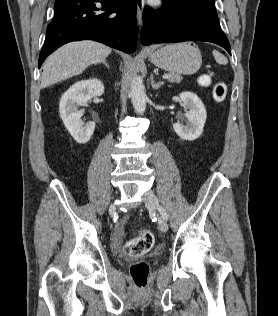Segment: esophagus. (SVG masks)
<instances>
[{
    "instance_id": "1",
    "label": "esophagus",
    "mask_w": 278,
    "mask_h": 316,
    "mask_svg": "<svg viewBox=\"0 0 278 316\" xmlns=\"http://www.w3.org/2000/svg\"><path fill=\"white\" fill-rule=\"evenodd\" d=\"M144 4H145V0H137V14H136V17H137V23H138L139 29H141L142 25H143L142 17H143Z\"/></svg>"
}]
</instances>
